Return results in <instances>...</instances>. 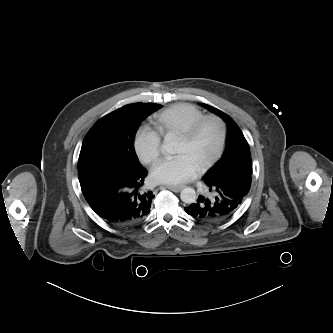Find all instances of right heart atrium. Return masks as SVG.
<instances>
[{
  "instance_id": "right-heart-atrium-1",
  "label": "right heart atrium",
  "mask_w": 333,
  "mask_h": 333,
  "mask_svg": "<svg viewBox=\"0 0 333 333\" xmlns=\"http://www.w3.org/2000/svg\"><path fill=\"white\" fill-rule=\"evenodd\" d=\"M134 147L139 159L151 165L160 157L161 137L156 131L143 127L135 136Z\"/></svg>"
}]
</instances>
